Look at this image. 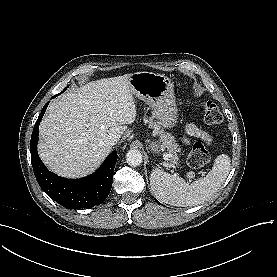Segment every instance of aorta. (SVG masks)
I'll return each mask as SVG.
<instances>
[{
	"mask_svg": "<svg viewBox=\"0 0 277 277\" xmlns=\"http://www.w3.org/2000/svg\"><path fill=\"white\" fill-rule=\"evenodd\" d=\"M126 162L130 166H139L143 162V155L138 149H130L126 154Z\"/></svg>",
	"mask_w": 277,
	"mask_h": 277,
	"instance_id": "1",
	"label": "aorta"
}]
</instances>
